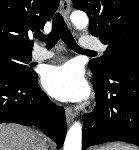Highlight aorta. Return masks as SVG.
<instances>
[{"label": "aorta", "instance_id": "1", "mask_svg": "<svg viewBox=\"0 0 139 150\" xmlns=\"http://www.w3.org/2000/svg\"><path fill=\"white\" fill-rule=\"evenodd\" d=\"M71 22L77 29L86 28L89 23L88 16L83 11H74L70 16ZM82 148V125L75 122L67 132L63 150H81Z\"/></svg>", "mask_w": 139, "mask_h": 150}]
</instances>
